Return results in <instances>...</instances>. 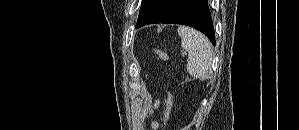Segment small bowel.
<instances>
[{"instance_id": "small-bowel-1", "label": "small bowel", "mask_w": 299, "mask_h": 130, "mask_svg": "<svg viewBox=\"0 0 299 130\" xmlns=\"http://www.w3.org/2000/svg\"><path fill=\"white\" fill-rule=\"evenodd\" d=\"M158 106H159V101H156L155 104H154V106H153V108L149 111L148 115L153 114L154 111L158 108ZM158 127H159V124H158L157 121H153V122L151 123V128H152L153 130H157Z\"/></svg>"}]
</instances>
